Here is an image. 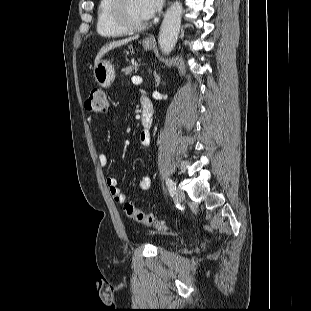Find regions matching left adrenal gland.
<instances>
[{"label":"left adrenal gland","instance_id":"left-adrenal-gland-1","mask_svg":"<svg viewBox=\"0 0 311 311\" xmlns=\"http://www.w3.org/2000/svg\"><path fill=\"white\" fill-rule=\"evenodd\" d=\"M154 77H155V83H156V87L159 86L160 84V76L157 74L156 71H154Z\"/></svg>","mask_w":311,"mask_h":311}]
</instances>
